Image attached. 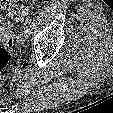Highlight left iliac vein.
Segmentation results:
<instances>
[{
    "mask_svg": "<svg viewBox=\"0 0 113 113\" xmlns=\"http://www.w3.org/2000/svg\"><path fill=\"white\" fill-rule=\"evenodd\" d=\"M29 39L28 34L26 33V29H24L18 37V42L20 44H24Z\"/></svg>",
    "mask_w": 113,
    "mask_h": 113,
    "instance_id": "obj_1",
    "label": "left iliac vein"
}]
</instances>
